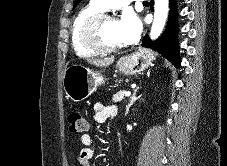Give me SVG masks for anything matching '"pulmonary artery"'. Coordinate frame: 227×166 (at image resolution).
Instances as JSON below:
<instances>
[{
    "mask_svg": "<svg viewBox=\"0 0 227 166\" xmlns=\"http://www.w3.org/2000/svg\"><path fill=\"white\" fill-rule=\"evenodd\" d=\"M92 1H94L101 9L109 10L120 9L124 6L129 5L133 0H92Z\"/></svg>",
    "mask_w": 227,
    "mask_h": 166,
    "instance_id": "obj_1",
    "label": "pulmonary artery"
}]
</instances>
